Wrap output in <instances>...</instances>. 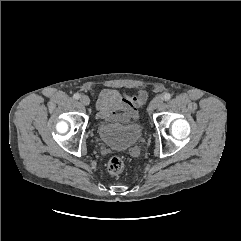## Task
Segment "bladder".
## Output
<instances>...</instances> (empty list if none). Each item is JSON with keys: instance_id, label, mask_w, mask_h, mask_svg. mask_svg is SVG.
I'll list each match as a JSON object with an SVG mask.
<instances>
[{"instance_id": "bladder-1", "label": "bladder", "mask_w": 241, "mask_h": 241, "mask_svg": "<svg viewBox=\"0 0 241 241\" xmlns=\"http://www.w3.org/2000/svg\"><path fill=\"white\" fill-rule=\"evenodd\" d=\"M98 134L101 141L114 150H128L135 146L142 137V126L139 122L127 125L100 123Z\"/></svg>"}]
</instances>
